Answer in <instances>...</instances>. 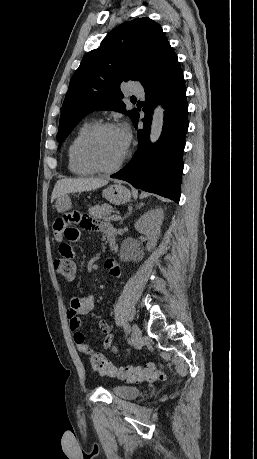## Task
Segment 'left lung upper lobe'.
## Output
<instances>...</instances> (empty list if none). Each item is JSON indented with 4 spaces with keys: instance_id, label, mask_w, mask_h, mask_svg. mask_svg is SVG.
Listing matches in <instances>:
<instances>
[{
    "instance_id": "1",
    "label": "left lung upper lobe",
    "mask_w": 257,
    "mask_h": 459,
    "mask_svg": "<svg viewBox=\"0 0 257 459\" xmlns=\"http://www.w3.org/2000/svg\"><path fill=\"white\" fill-rule=\"evenodd\" d=\"M171 51L160 25L148 17L113 29L73 74L62 106L57 141L62 143L95 110H115L133 119L137 111L125 110L121 83L134 80L144 85Z\"/></svg>"
}]
</instances>
